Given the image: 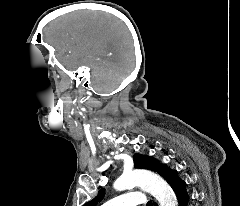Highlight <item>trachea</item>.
Listing matches in <instances>:
<instances>
[{"instance_id": "obj_1", "label": "trachea", "mask_w": 240, "mask_h": 206, "mask_svg": "<svg viewBox=\"0 0 240 206\" xmlns=\"http://www.w3.org/2000/svg\"><path fill=\"white\" fill-rule=\"evenodd\" d=\"M147 206H152L151 201H149V202L147 203Z\"/></svg>"}]
</instances>
